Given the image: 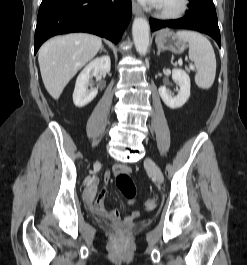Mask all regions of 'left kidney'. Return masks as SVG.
Masks as SVG:
<instances>
[{
  "instance_id": "5707ae66",
  "label": "left kidney",
  "mask_w": 247,
  "mask_h": 265,
  "mask_svg": "<svg viewBox=\"0 0 247 265\" xmlns=\"http://www.w3.org/2000/svg\"><path fill=\"white\" fill-rule=\"evenodd\" d=\"M172 79L178 84L179 91L176 96H172L170 91L165 87L159 88V94L163 102L171 109L182 107L190 97V78L182 69L172 70Z\"/></svg>"
}]
</instances>
